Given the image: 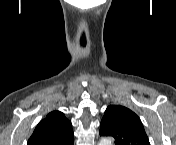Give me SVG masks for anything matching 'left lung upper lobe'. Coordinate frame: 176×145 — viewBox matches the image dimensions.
<instances>
[{"label": "left lung upper lobe", "mask_w": 176, "mask_h": 145, "mask_svg": "<svg viewBox=\"0 0 176 145\" xmlns=\"http://www.w3.org/2000/svg\"><path fill=\"white\" fill-rule=\"evenodd\" d=\"M101 136H112L115 145H150L140 118L121 105H110L100 126Z\"/></svg>", "instance_id": "1"}]
</instances>
